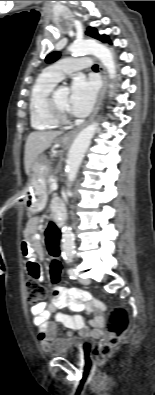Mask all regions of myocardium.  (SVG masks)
Here are the masks:
<instances>
[{
	"mask_svg": "<svg viewBox=\"0 0 155 395\" xmlns=\"http://www.w3.org/2000/svg\"><path fill=\"white\" fill-rule=\"evenodd\" d=\"M57 91L58 88H54L49 93L46 101V109L51 119L54 120L57 124H66L69 122V117L65 111L60 109L56 102L55 95Z\"/></svg>",
	"mask_w": 155,
	"mask_h": 395,
	"instance_id": "myocardium-1",
	"label": "myocardium"
}]
</instances>
